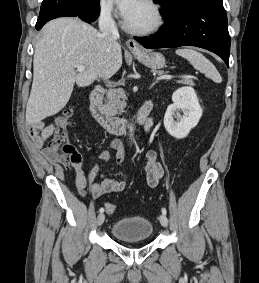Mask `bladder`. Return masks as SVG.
<instances>
[{
  "label": "bladder",
  "instance_id": "bladder-1",
  "mask_svg": "<svg viewBox=\"0 0 259 283\" xmlns=\"http://www.w3.org/2000/svg\"><path fill=\"white\" fill-rule=\"evenodd\" d=\"M152 233V223L140 216L119 219L111 227L112 236L119 240H147Z\"/></svg>",
  "mask_w": 259,
  "mask_h": 283
}]
</instances>
